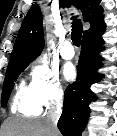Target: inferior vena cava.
<instances>
[{
    "label": "inferior vena cava",
    "instance_id": "obj_1",
    "mask_svg": "<svg viewBox=\"0 0 117 136\" xmlns=\"http://www.w3.org/2000/svg\"><path fill=\"white\" fill-rule=\"evenodd\" d=\"M62 112V102L60 99L56 100V103L53 104L48 111L46 123L50 131V136H55L57 131V122L60 118Z\"/></svg>",
    "mask_w": 117,
    "mask_h": 136
}]
</instances>
